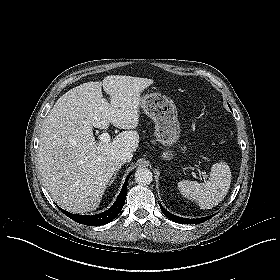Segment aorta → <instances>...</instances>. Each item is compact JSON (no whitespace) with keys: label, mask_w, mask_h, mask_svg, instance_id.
<instances>
[{"label":"aorta","mask_w":280,"mask_h":280,"mask_svg":"<svg viewBox=\"0 0 280 280\" xmlns=\"http://www.w3.org/2000/svg\"><path fill=\"white\" fill-rule=\"evenodd\" d=\"M134 176L136 183L140 185H148L153 180L152 172L148 168H138Z\"/></svg>","instance_id":"obj_1"}]
</instances>
